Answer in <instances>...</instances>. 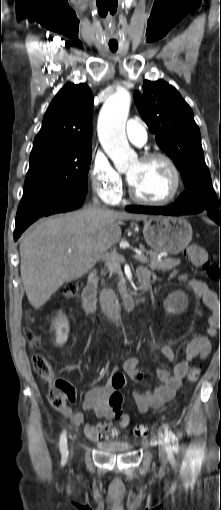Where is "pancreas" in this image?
<instances>
[{
  "instance_id": "pancreas-1",
  "label": "pancreas",
  "mask_w": 221,
  "mask_h": 510,
  "mask_svg": "<svg viewBox=\"0 0 221 510\" xmlns=\"http://www.w3.org/2000/svg\"><path fill=\"white\" fill-rule=\"evenodd\" d=\"M139 247L141 251H144L147 255H149L150 263L148 264V267H150L152 270L169 271L181 263L180 259L166 258L159 260L157 252L146 250L143 245H140ZM120 263H122L120 260L106 263L107 271H109L110 275L113 273H120Z\"/></svg>"
}]
</instances>
